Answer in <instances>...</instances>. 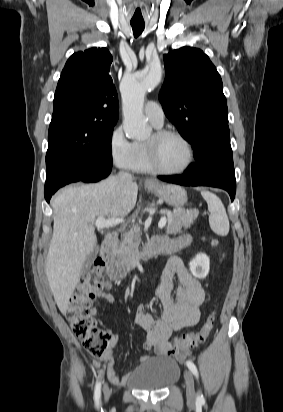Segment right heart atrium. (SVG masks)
I'll return each mask as SVG.
<instances>
[{
    "label": "right heart atrium",
    "mask_w": 283,
    "mask_h": 412,
    "mask_svg": "<svg viewBox=\"0 0 283 412\" xmlns=\"http://www.w3.org/2000/svg\"><path fill=\"white\" fill-rule=\"evenodd\" d=\"M108 149L110 157L117 167L129 168L134 155V146L125 136L122 126L115 127L110 133Z\"/></svg>",
    "instance_id": "d8ad5b80"
}]
</instances>
